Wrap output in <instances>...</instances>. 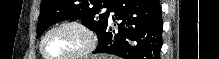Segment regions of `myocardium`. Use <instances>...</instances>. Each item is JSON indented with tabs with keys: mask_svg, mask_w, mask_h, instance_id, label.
<instances>
[{
	"mask_svg": "<svg viewBox=\"0 0 219 59\" xmlns=\"http://www.w3.org/2000/svg\"><path fill=\"white\" fill-rule=\"evenodd\" d=\"M65 27H72L79 30L84 35L85 44L79 51L69 56L51 57L45 52L44 49L45 41L52 32ZM95 47H96V36L94 32L86 24L78 20H65L55 24L45 32V34L42 36V39L40 41V52L45 59H79L89 55L95 49Z\"/></svg>",
	"mask_w": 219,
	"mask_h": 59,
	"instance_id": "myocardium-1",
	"label": "myocardium"
}]
</instances>
